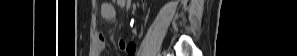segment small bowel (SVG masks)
I'll list each match as a JSON object with an SVG mask.
<instances>
[{"instance_id":"obj_1","label":"small bowel","mask_w":297,"mask_h":56,"mask_svg":"<svg viewBox=\"0 0 297 56\" xmlns=\"http://www.w3.org/2000/svg\"><path fill=\"white\" fill-rule=\"evenodd\" d=\"M117 4L120 7H124L127 4V0H117ZM101 16L106 21H112L116 17V9L111 3H104L101 7ZM107 46L106 38L103 34L98 36V43H97V51L101 53L105 50ZM119 47L122 50H126L128 53H132L134 51L133 44H127L125 41L121 40L119 42Z\"/></svg>"}]
</instances>
